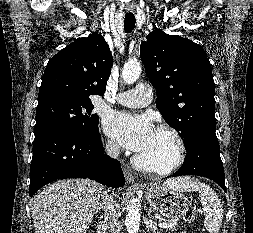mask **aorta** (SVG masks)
Returning a JSON list of instances; mask_svg holds the SVG:
<instances>
[{"label": "aorta", "instance_id": "1", "mask_svg": "<svg viewBox=\"0 0 253 233\" xmlns=\"http://www.w3.org/2000/svg\"><path fill=\"white\" fill-rule=\"evenodd\" d=\"M141 74V66L137 61H131L124 65L122 70V78L126 84L134 83ZM140 209L139 201L133 198L130 201L128 214L125 219V225L129 233H138L140 226Z\"/></svg>", "mask_w": 253, "mask_h": 233}]
</instances>
